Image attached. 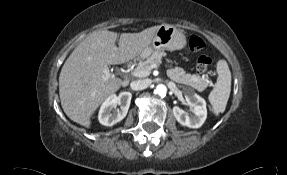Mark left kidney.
Masks as SVG:
<instances>
[{"label":"left kidney","mask_w":287,"mask_h":175,"mask_svg":"<svg viewBox=\"0 0 287 175\" xmlns=\"http://www.w3.org/2000/svg\"><path fill=\"white\" fill-rule=\"evenodd\" d=\"M185 99L190 107L193 108V114L189 116L178 106L173 107V114L176 120L183 126L189 128H199L207 118V108L205 100L195 93H189Z\"/></svg>","instance_id":"1"}]
</instances>
